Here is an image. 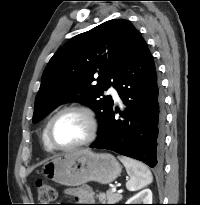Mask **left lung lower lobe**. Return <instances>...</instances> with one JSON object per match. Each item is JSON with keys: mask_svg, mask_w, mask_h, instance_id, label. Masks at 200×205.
Segmentation results:
<instances>
[{"mask_svg": "<svg viewBox=\"0 0 200 205\" xmlns=\"http://www.w3.org/2000/svg\"><path fill=\"white\" fill-rule=\"evenodd\" d=\"M113 86L125 108H113L91 148L115 151L160 166L164 145V103L151 53L138 33ZM120 117L115 118L116 113Z\"/></svg>", "mask_w": 200, "mask_h": 205, "instance_id": "left-lung-lower-lobe-1", "label": "left lung lower lobe"}]
</instances>
